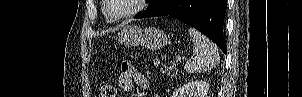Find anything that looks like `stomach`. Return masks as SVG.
<instances>
[{"instance_id": "obj_1", "label": "stomach", "mask_w": 302, "mask_h": 97, "mask_svg": "<svg viewBox=\"0 0 302 97\" xmlns=\"http://www.w3.org/2000/svg\"><path fill=\"white\" fill-rule=\"evenodd\" d=\"M118 40L128 47L143 46L151 50L163 48L170 43L167 35L160 29L154 27L143 29L136 25L124 26Z\"/></svg>"}]
</instances>
